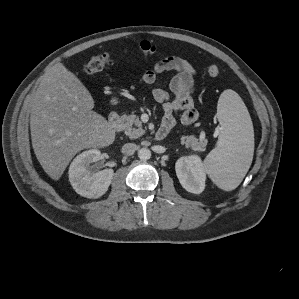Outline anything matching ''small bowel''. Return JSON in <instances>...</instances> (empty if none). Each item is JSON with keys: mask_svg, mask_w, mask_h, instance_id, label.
<instances>
[{"mask_svg": "<svg viewBox=\"0 0 299 299\" xmlns=\"http://www.w3.org/2000/svg\"><path fill=\"white\" fill-rule=\"evenodd\" d=\"M163 72L175 74L170 81V92L162 88H155L152 91L154 100L163 106L165 112L162 126L170 132L175 126L174 113L177 111L181 112V121L184 125H193L198 118L192 99L195 90V68L182 57L169 56L147 70L141 77V83L155 84L158 75Z\"/></svg>", "mask_w": 299, "mask_h": 299, "instance_id": "1", "label": "small bowel"}]
</instances>
